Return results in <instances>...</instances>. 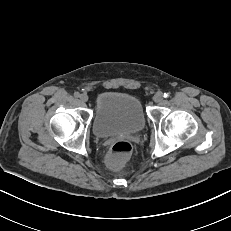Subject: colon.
Here are the masks:
<instances>
[{
	"label": "colon",
	"mask_w": 231,
	"mask_h": 231,
	"mask_svg": "<svg viewBox=\"0 0 231 231\" xmlns=\"http://www.w3.org/2000/svg\"><path fill=\"white\" fill-rule=\"evenodd\" d=\"M133 146L128 140L116 141L110 148L107 156L108 164L113 168L122 167L131 155Z\"/></svg>",
	"instance_id": "5ec220e1"
}]
</instances>
